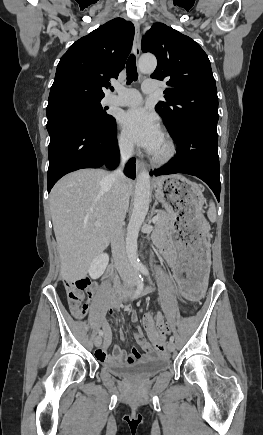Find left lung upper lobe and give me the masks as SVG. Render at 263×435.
Wrapping results in <instances>:
<instances>
[{
    "label": "left lung upper lobe",
    "instance_id": "left-lung-upper-lobe-1",
    "mask_svg": "<svg viewBox=\"0 0 263 435\" xmlns=\"http://www.w3.org/2000/svg\"><path fill=\"white\" fill-rule=\"evenodd\" d=\"M143 52L157 57L151 78L166 79V101L156 105L170 134L190 122L217 123L218 97L210 61L193 39L155 23L142 39Z\"/></svg>",
    "mask_w": 263,
    "mask_h": 435
}]
</instances>
